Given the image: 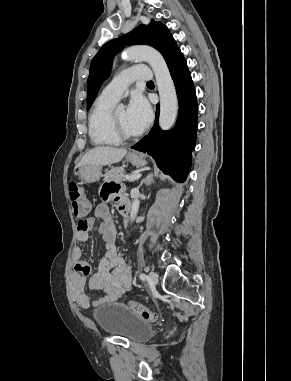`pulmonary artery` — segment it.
<instances>
[{
    "label": "pulmonary artery",
    "instance_id": "e3ab8cb5",
    "mask_svg": "<svg viewBox=\"0 0 291 381\" xmlns=\"http://www.w3.org/2000/svg\"><path fill=\"white\" fill-rule=\"evenodd\" d=\"M151 79L152 72L149 66L134 65L118 73L110 83L103 88L100 96L117 101L133 81H149Z\"/></svg>",
    "mask_w": 291,
    "mask_h": 381
}]
</instances>
